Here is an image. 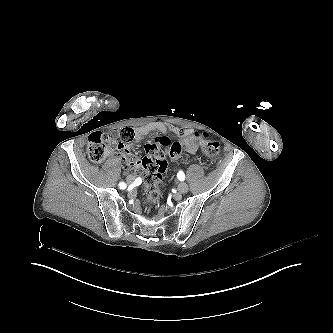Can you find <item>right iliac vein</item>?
<instances>
[{
	"mask_svg": "<svg viewBox=\"0 0 333 333\" xmlns=\"http://www.w3.org/2000/svg\"><path fill=\"white\" fill-rule=\"evenodd\" d=\"M127 183L130 184L135 180V177L133 175H128L126 177Z\"/></svg>",
	"mask_w": 333,
	"mask_h": 333,
	"instance_id": "63e3f726",
	"label": "right iliac vein"
}]
</instances>
